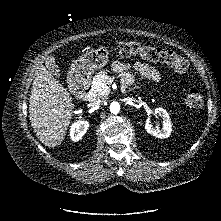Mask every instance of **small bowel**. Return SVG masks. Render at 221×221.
I'll list each match as a JSON object with an SVG mask.
<instances>
[{"instance_id":"obj_1","label":"small bowel","mask_w":221,"mask_h":221,"mask_svg":"<svg viewBox=\"0 0 221 221\" xmlns=\"http://www.w3.org/2000/svg\"><path fill=\"white\" fill-rule=\"evenodd\" d=\"M113 69L123 74L122 80L124 84H131L133 82L132 76L129 73L132 70L140 73L153 82H158L160 80V74L154 67L139 61L132 64L117 61L113 63Z\"/></svg>"}]
</instances>
